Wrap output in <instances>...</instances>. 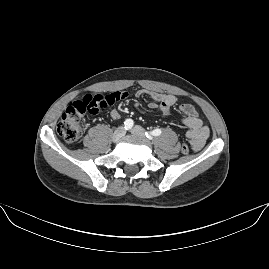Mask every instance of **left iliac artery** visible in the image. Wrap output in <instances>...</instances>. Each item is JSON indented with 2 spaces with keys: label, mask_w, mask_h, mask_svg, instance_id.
Wrapping results in <instances>:
<instances>
[{
  "label": "left iliac artery",
  "mask_w": 269,
  "mask_h": 269,
  "mask_svg": "<svg viewBox=\"0 0 269 269\" xmlns=\"http://www.w3.org/2000/svg\"><path fill=\"white\" fill-rule=\"evenodd\" d=\"M160 134H161V130L160 129H155L150 133L146 132V137L149 138V139H152V136H159Z\"/></svg>",
  "instance_id": "44dca946"
}]
</instances>
